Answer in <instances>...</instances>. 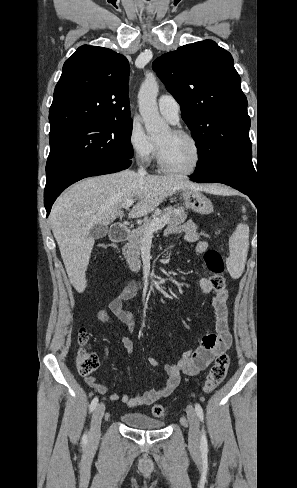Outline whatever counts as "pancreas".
Instances as JSON below:
<instances>
[{
  "label": "pancreas",
  "mask_w": 297,
  "mask_h": 488,
  "mask_svg": "<svg viewBox=\"0 0 297 488\" xmlns=\"http://www.w3.org/2000/svg\"><path fill=\"white\" fill-rule=\"evenodd\" d=\"M164 215L167 216L166 224L170 225H177L183 223L186 218L187 214L182 207H169L167 211H164L161 216H159L158 212L154 213L153 219L145 218L143 221V225L136 230H134L130 236L128 237V243L122 248L123 255L125 256L126 262L129 268L137 272L140 270L141 262L140 258V249L144 240V229L147 225H149L155 218H161Z\"/></svg>",
  "instance_id": "obj_1"
}]
</instances>
